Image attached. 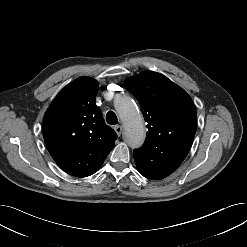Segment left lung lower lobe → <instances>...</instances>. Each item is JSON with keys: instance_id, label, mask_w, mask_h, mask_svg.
Segmentation results:
<instances>
[{"instance_id": "0a47b994", "label": "left lung lower lobe", "mask_w": 247, "mask_h": 247, "mask_svg": "<svg viewBox=\"0 0 247 247\" xmlns=\"http://www.w3.org/2000/svg\"><path fill=\"white\" fill-rule=\"evenodd\" d=\"M137 169L144 177L154 180L162 179L174 172L181 163L171 160H152L151 162H142L135 159Z\"/></svg>"}]
</instances>
